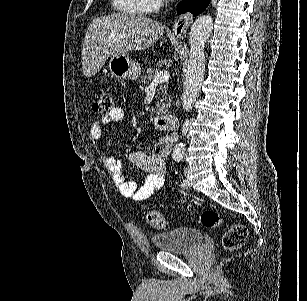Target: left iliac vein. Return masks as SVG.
Segmentation results:
<instances>
[{"label": "left iliac vein", "instance_id": "1", "mask_svg": "<svg viewBox=\"0 0 307 301\" xmlns=\"http://www.w3.org/2000/svg\"><path fill=\"white\" fill-rule=\"evenodd\" d=\"M184 175L185 178L187 179V185L185 186V188H189L191 186V182H190V172L187 168L184 169Z\"/></svg>", "mask_w": 307, "mask_h": 301}]
</instances>
